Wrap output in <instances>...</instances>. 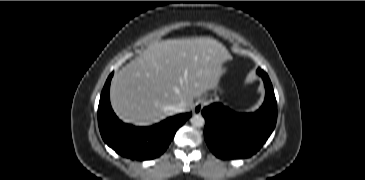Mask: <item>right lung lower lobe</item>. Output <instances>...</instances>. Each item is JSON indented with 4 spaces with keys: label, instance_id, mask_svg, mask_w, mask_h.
<instances>
[{
    "label": "right lung lower lobe",
    "instance_id": "obj_1",
    "mask_svg": "<svg viewBox=\"0 0 365 180\" xmlns=\"http://www.w3.org/2000/svg\"><path fill=\"white\" fill-rule=\"evenodd\" d=\"M112 76L113 73L105 83L98 106V125L103 140L119 155L132 160H151L160 156L192 113L179 114L149 127L125 124L116 117L110 105Z\"/></svg>",
    "mask_w": 365,
    "mask_h": 180
}]
</instances>
